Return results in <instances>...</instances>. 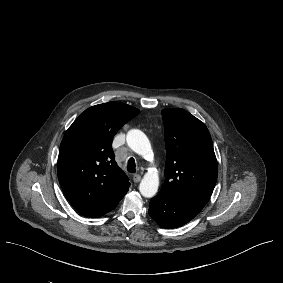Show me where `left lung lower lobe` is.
Wrapping results in <instances>:
<instances>
[{
	"label": "left lung lower lobe",
	"instance_id": "obj_1",
	"mask_svg": "<svg viewBox=\"0 0 283 283\" xmlns=\"http://www.w3.org/2000/svg\"><path fill=\"white\" fill-rule=\"evenodd\" d=\"M204 206L162 193L151 199L149 215L166 229L180 227L192 220Z\"/></svg>",
	"mask_w": 283,
	"mask_h": 283
}]
</instances>
